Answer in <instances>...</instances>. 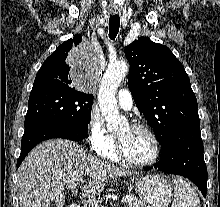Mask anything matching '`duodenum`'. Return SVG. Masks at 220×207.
Returning a JSON list of instances; mask_svg holds the SVG:
<instances>
[{
  "instance_id": "1",
  "label": "duodenum",
  "mask_w": 220,
  "mask_h": 207,
  "mask_svg": "<svg viewBox=\"0 0 220 207\" xmlns=\"http://www.w3.org/2000/svg\"><path fill=\"white\" fill-rule=\"evenodd\" d=\"M70 207H79L78 205H72V206H70Z\"/></svg>"
}]
</instances>
